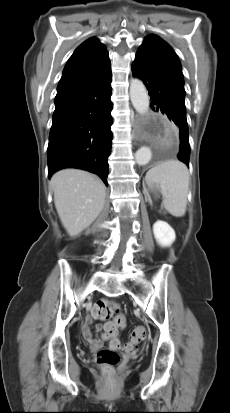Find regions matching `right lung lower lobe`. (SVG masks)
<instances>
[{
    "instance_id": "1",
    "label": "right lung lower lobe",
    "mask_w": 230,
    "mask_h": 413,
    "mask_svg": "<svg viewBox=\"0 0 230 413\" xmlns=\"http://www.w3.org/2000/svg\"><path fill=\"white\" fill-rule=\"evenodd\" d=\"M111 72L74 87L60 90L48 145V176L66 167L90 171L108 186L111 152Z\"/></svg>"
}]
</instances>
